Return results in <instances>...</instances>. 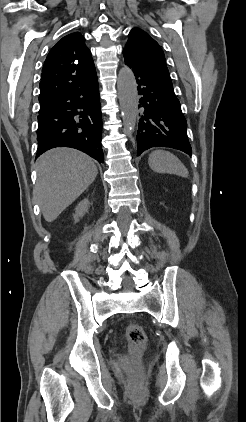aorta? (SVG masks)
I'll use <instances>...</instances> for the list:
<instances>
[{
	"label": "aorta",
	"instance_id": "aorta-1",
	"mask_svg": "<svg viewBox=\"0 0 246 422\" xmlns=\"http://www.w3.org/2000/svg\"><path fill=\"white\" fill-rule=\"evenodd\" d=\"M117 90L122 113L124 132L132 135L137 119V84L135 76L129 67L120 69L117 79Z\"/></svg>",
	"mask_w": 246,
	"mask_h": 422
}]
</instances>
